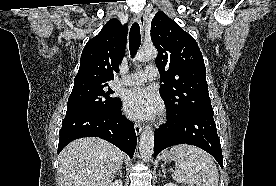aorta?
Returning a JSON list of instances; mask_svg holds the SVG:
<instances>
[{
	"mask_svg": "<svg viewBox=\"0 0 276 186\" xmlns=\"http://www.w3.org/2000/svg\"><path fill=\"white\" fill-rule=\"evenodd\" d=\"M157 49L153 46L143 47L136 54V60L140 62L155 60L157 58ZM154 148V132L151 127H146L140 137L139 152L143 161H148Z\"/></svg>",
	"mask_w": 276,
	"mask_h": 186,
	"instance_id": "1",
	"label": "aorta"
}]
</instances>
